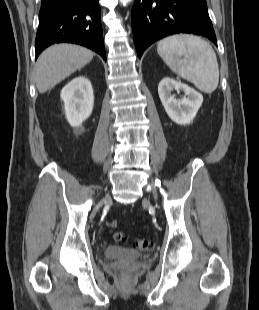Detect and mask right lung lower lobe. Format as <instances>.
<instances>
[{
  "label": "right lung lower lobe",
  "mask_w": 259,
  "mask_h": 310,
  "mask_svg": "<svg viewBox=\"0 0 259 310\" xmlns=\"http://www.w3.org/2000/svg\"><path fill=\"white\" fill-rule=\"evenodd\" d=\"M99 0H42L35 39L36 58L54 43H76L106 60Z\"/></svg>",
  "instance_id": "obj_1"
}]
</instances>
